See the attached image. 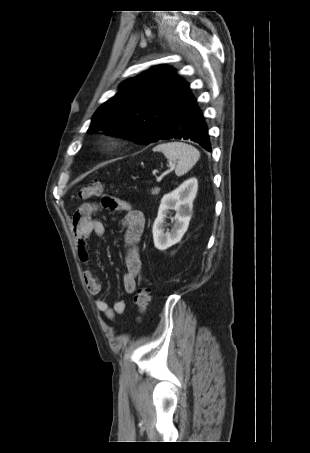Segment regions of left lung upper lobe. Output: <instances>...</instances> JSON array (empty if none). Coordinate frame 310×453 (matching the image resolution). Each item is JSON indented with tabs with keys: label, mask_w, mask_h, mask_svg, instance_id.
I'll use <instances>...</instances> for the list:
<instances>
[{
	"label": "left lung upper lobe",
	"mask_w": 310,
	"mask_h": 453,
	"mask_svg": "<svg viewBox=\"0 0 310 453\" xmlns=\"http://www.w3.org/2000/svg\"><path fill=\"white\" fill-rule=\"evenodd\" d=\"M186 87L173 68L153 66L120 85L119 92L96 111L88 133L102 129L144 145L157 142Z\"/></svg>",
	"instance_id": "1"
}]
</instances>
